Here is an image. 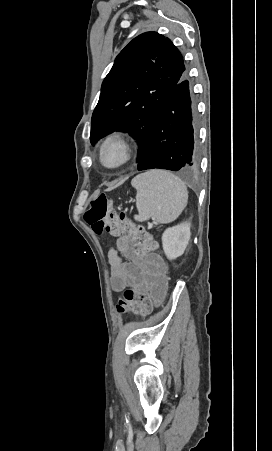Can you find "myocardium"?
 I'll return each mask as SVG.
<instances>
[{"label": "myocardium", "instance_id": "f54148a6", "mask_svg": "<svg viewBox=\"0 0 272 451\" xmlns=\"http://www.w3.org/2000/svg\"><path fill=\"white\" fill-rule=\"evenodd\" d=\"M116 150L121 155V161L115 166H109L104 162V154L108 150ZM130 149L128 144L118 137L117 135H111L107 137L100 146L98 153V162L101 166L109 168L111 170H119L124 167L130 160Z\"/></svg>", "mask_w": 272, "mask_h": 451}]
</instances>
